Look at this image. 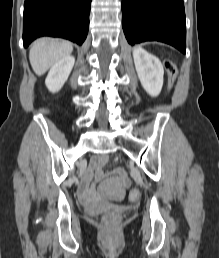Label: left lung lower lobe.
I'll use <instances>...</instances> for the list:
<instances>
[{
	"mask_svg": "<svg viewBox=\"0 0 219 258\" xmlns=\"http://www.w3.org/2000/svg\"><path fill=\"white\" fill-rule=\"evenodd\" d=\"M122 14L130 45L160 41L186 52L183 0H122Z\"/></svg>",
	"mask_w": 219,
	"mask_h": 258,
	"instance_id": "left-lung-lower-lobe-1",
	"label": "left lung lower lobe"
}]
</instances>
